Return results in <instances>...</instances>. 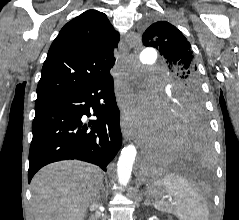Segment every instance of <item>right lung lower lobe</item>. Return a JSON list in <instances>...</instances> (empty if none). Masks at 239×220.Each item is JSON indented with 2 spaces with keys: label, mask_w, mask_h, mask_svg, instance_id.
<instances>
[{
  "label": "right lung lower lobe",
  "mask_w": 239,
  "mask_h": 220,
  "mask_svg": "<svg viewBox=\"0 0 239 220\" xmlns=\"http://www.w3.org/2000/svg\"><path fill=\"white\" fill-rule=\"evenodd\" d=\"M28 182L43 166L78 159L104 171L121 147L120 113L113 77L106 73L84 89L35 103ZM97 120L83 121V115Z\"/></svg>",
  "instance_id": "98d812e1"
}]
</instances>
